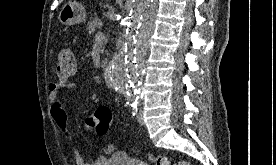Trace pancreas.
Segmentation results:
<instances>
[{"mask_svg": "<svg viewBox=\"0 0 276 165\" xmlns=\"http://www.w3.org/2000/svg\"><path fill=\"white\" fill-rule=\"evenodd\" d=\"M102 26H103L102 20L98 17H94L93 19H91L88 22L87 30L90 35H93L95 33L96 29H101Z\"/></svg>", "mask_w": 276, "mask_h": 165, "instance_id": "cf45deb5", "label": "pancreas"}]
</instances>
